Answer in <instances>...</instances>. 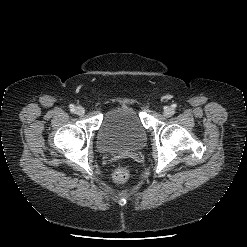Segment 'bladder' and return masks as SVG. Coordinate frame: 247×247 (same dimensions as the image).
I'll return each instance as SVG.
<instances>
[{
  "label": "bladder",
  "mask_w": 247,
  "mask_h": 247,
  "mask_svg": "<svg viewBox=\"0 0 247 247\" xmlns=\"http://www.w3.org/2000/svg\"><path fill=\"white\" fill-rule=\"evenodd\" d=\"M147 133L138 111L132 106H118L103 118L96 144L102 152H119L141 148Z\"/></svg>",
  "instance_id": "1"
}]
</instances>
